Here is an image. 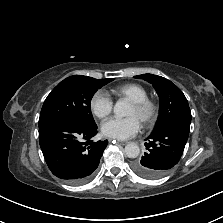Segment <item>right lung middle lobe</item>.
<instances>
[{
  "label": "right lung middle lobe",
  "instance_id": "obj_1",
  "mask_svg": "<svg viewBox=\"0 0 223 223\" xmlns=\"http://www.w3.org/2000/svg\"><path fill=\"white\" fill-rule=\"evenodd\" d=\"M114 78L94 79L74 75L61 81L47 96L41 109L39 126L57 119H73L87 126L96 123L91 113L95 92Z\"/></svg>",
  "mask_w": 223,
  "mask_h": 223
}]
</instances>
